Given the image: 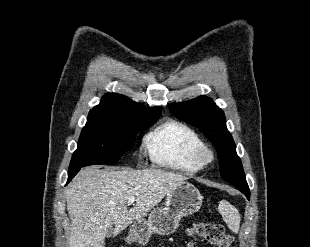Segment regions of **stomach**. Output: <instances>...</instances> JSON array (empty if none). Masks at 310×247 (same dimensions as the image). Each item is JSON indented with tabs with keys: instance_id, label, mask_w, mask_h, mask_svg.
Returning <instances> with one entry per match:
<instances>
[{
	"instance_id": "0dacf381",
	"label": "stomach",
	"mask_w": 310,
	"mask_h": 247,
	"mask_svg": "<svg viewBox=\"0 0 310 247\" xmlns=\"http://www.w3.org/2000/svg\"><path fill=\"white\" fill-rule=\"evenodd\" d=\"M203 197L191 183H178L166 196L164 206L155 208L148 219L136 220L131 228V240L145 245L153 233L169 235L176 231L180 220L197 212Z\"/></svg>"
}]
</instances>
